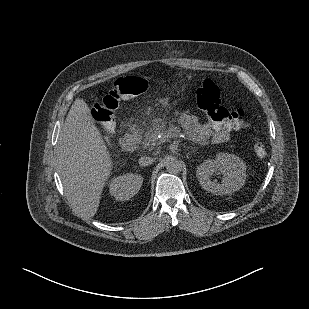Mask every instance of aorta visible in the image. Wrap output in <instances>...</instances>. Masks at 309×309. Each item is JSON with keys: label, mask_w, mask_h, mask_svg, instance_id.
Instances as JSON below:
<instances>
[{"label": "aorta", "mask_w": 309, "mask_h": 309, "mask_svg": "<svg viewBox=\"0 0 309 309\" xmlns=\"http://www.w3.org/2000/svg\"><path fill=\"white\" fill-rule=\"evenodd\" d=\"M166 170L172 174H178L182 171L183 162L176 157H169L165 160Z\"/></svg>", "instance_id": "obj_1"}]
</instances>
